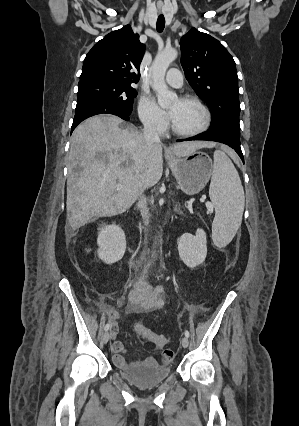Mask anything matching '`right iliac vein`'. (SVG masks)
Masks as SVG:
<instances>
[{
	"instance_id": "right-iliac-vein-1",
	"label": "right iliac vein",
	"mask_w": 299,
	"mask_h": 426,
	"mask_svg": "<svg viewBox=\"0 0 299 426\" xmlns=\"http://www.w3.org/2000/svg\"><path fill=\"white\" fill-rule=\"evenodd\" d=\"M110 338H111V333H110V332H106V333L103 335V342H104V343H107V342L110 340Z\"/></svg>"
}]
</instances>
